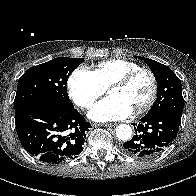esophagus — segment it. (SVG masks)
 Here are the masks:
<instances>
[{
    "mask_svg": "<svg viewBox=\"0 0 196 196\" xmlns=\"http://www.w3.org/2000/svg\"><path fill=\"white\" fill-rule=\"evenodd\" d=\"M115 125H116L115 123H103V124H101V126H103V127H113Z\"/></svg>",
    "mask_w": 196,
    "mask_h": 196,
    "instance_id": "esophagus-1",
    "label": "esophagus"
}]
</instances>
